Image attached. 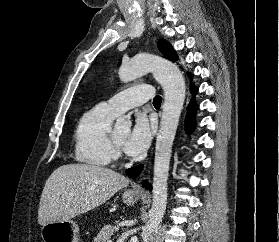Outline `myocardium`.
Masks as SVG:
<instances>
[{
  "mask_svg": "<svg viewBox=\"0 0 279 242\" xmlns=\"http://www.w3.org/2000/svg\"><path fill=\"white\" fill-rule=\"evenodd\" d=\"M110 140H111V143L116 151V153H121L123 151V146L120 145L114 138V135L111 134L110 135Z\"/></svg>",
  "mask_w": 279,
  "mask_h": 242,
  "instance_id": "obj_1",
  "label": "myocardium"
}]
</instances>
